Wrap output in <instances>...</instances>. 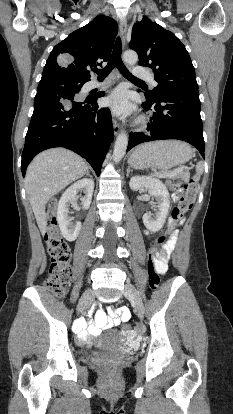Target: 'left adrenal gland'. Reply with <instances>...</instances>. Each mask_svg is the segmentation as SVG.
<instances>
[{
	"label": "left adrenal gland",
	"instance_id": "a2214340",
	"mask_svg": "<svg viewBox=\"0 0 233 414\" xmlns=\"http://www.w3.org/2000/svg\"><path fill=\"white\" fill-rule=\"evenodd\" d=\"M132 170L130 169V166H128V168H127V177L129 176V173L131 172Z\"/></svg>",
	"mask_w": 233,
	"mask_h": 414
}]
</instances>
